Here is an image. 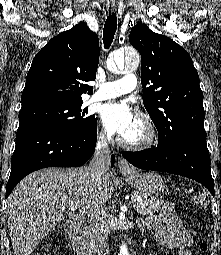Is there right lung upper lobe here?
<instances>
[{
    "instance_id": "obj_1",
    "label": "right lung upper lobe",
    "mask_w": 221,
    "mask_h": 255,
    "mask_svg": "<svg viewBox=\"0 0 221 255\" xmlns=\"http://www.w3.org/2000/svg\"><path fill=\"white\" fill-rule=\"evenodd\" d=\"M99 55V39L84 22L52 38L32 61L21 109L81 102L83 93H93L86 83L96 78Z\"/></svg>"
}]
</instances>
